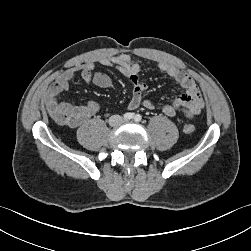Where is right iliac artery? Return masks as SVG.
<instances>
[{
    "label": "right iliac artery",
    "mask_w": 251,
    "mask_h": 251,
    "mask_svg": "<svg viewBox=\"0 0 251 251\" xmlns=\"http://www.w3.org/2000/svg\"><path fill=\"white\" fill-rule=\"evenodd\" d=\"M123 118L126 120H130V119L134 118V113H125L123 115Z\"/></svg>",
    "instance_id": "1"
}]
</instances>
